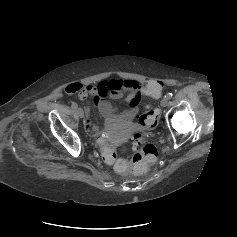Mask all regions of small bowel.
I'll return each mask as SVG.
<instances>
[{
	"label": "small bowel",
	"instance_id": "obj_1",
	"mask_svg": "<svg viewBox=\"0 0 237 237\" xmlns=\"http://www.w3.org/2000/svg\"><path fill=\"white\" fill-rule=\"evenodd\" d=\"M65 91L68 94H76L80 99H85L88 96L93 98L105 118V126L100 128L94 123L87 110L85 129L92 135L106 132L112 124L126 123L132 120L138 113L140 102L147 95L145 87L132 79L101 81L95 85L71 83L66 86ZM125 92H127V96L124 99L125 108L123 110H117L108 102V97L119 99Z\"/></svg>",
	"mask_w": 237,
	"mask_h": 237
}]
</instances>
